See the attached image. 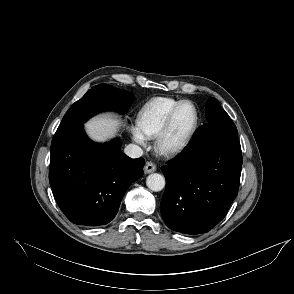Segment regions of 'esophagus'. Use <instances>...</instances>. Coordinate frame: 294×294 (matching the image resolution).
Instances as JSON below:
<instances>
[{
    "label": "esophagus",
    "mask_w": 294,
    "mask_h": 294,
    "mask_svg": "<svg viewBox=\"0 0 294 294\" xmlns=\"http://www.w3.org/2000/svg\"><path fill=\"white\" fill-rule=\"evenodd\" d=\"M156 171V165L152 162H147L144 166V172L146 174L152 173Z\"/></svg>",
    "instance_id": "esophagus-1"
}]
</instances>
